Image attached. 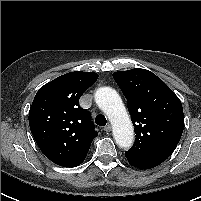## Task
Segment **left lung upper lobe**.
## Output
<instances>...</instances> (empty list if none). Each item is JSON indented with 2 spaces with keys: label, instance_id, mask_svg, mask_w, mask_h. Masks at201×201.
Instances as JSON below:
<instances>
[{
  "label": "left lung upper lobe",
  "instance_id": "5c2ea615",
  "mask_svg": "<svg viewBox=\"0 0 201 201\" xmlns=\"http://www.w3.org/2000/svg\"><path fill=\"white\" fill-rule=\"evenodd\" d=\"M128 101L135 130V142L125 152L129 162L159 165L172 154L180 141L183 108L176 94L154 73L132 69L113 73Z\"/></svg>",
  "mask_w": 201,
  "mask_h": 201
}]
</instances>
